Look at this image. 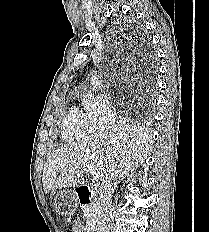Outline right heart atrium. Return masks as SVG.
<instances>
[{
	"mask_svg": "<svg viewBox=\"0 0 209 232\" xmlns=\"http://www.w3.org/2000/svg\"><path fill=\"white\" fill-rule=\"evenodd\" d=\"M87 115L92 132H101L112 126L117 118L116 111L106 96H90L87 100Z\"/></svg>",
	"mask_w": 209,
	"mask_h": 232,
	"instance_id": "right-heart-atrium-1",
	"label": "right heart atrium"
}]
</instances>
